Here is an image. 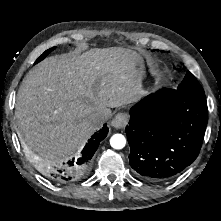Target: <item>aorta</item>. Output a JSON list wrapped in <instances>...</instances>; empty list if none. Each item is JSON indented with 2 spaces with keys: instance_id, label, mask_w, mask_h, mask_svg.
<instances>
[{
  "instance_id": "762f6f07",
  "label": "aorta",
  "mask_w": 221,
  "mask_h": 221,
  "mask_svg": "<svg viewBox=\"0 0 221 221\" xmlns=\"http://www.w3.org/2000/svg\"><path fill=\"white\" fill-rule=\"evenodd\" d=\"M126 139L122 134H114L110 139V145L114 149H122L125 147Z\"/></svg>"
}]
</instances>
